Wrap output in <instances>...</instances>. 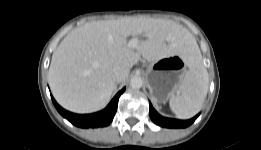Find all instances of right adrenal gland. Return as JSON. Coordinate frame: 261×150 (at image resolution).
Here are the masks:
<instances>
[{
  "mask_svg": "<svg viewBox=\"0 0 261 150\" xmlns=\"http://www.w3.org/2000/svg\"><path fill=\"white\" fill-rule=\"evenodd\" d=\"M118 83L115 84V88H117Z\"/></svg>",
  "mask_w": 261,
  "mask_h": 150,
  "instance_id": "right-adrenal-gland-1",
  "label": "right adrenal gland"
}]
</instances>
